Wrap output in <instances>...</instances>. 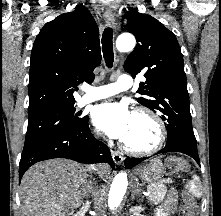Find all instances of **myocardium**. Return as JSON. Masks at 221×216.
Masks as SVG:
<instances>
[{
    "instance_id": "obj_1",
    "label": "myocardium",
    "mask_w": 221,
    "mask_h": 216,
    "mask_svg": "<svg viewBox=\"0 0 221 216\" xmlns=\"http://www.w3.org/2000/svg\"><path fill=\"white\" fill-rule=\"evenodd\" d=\"M134 115H143L151 119L157 128V139L155 143L147 148H135L129 146L126 142H121V148L132 155H148L158 151L165 143L167 138V129L162 118L151 108L139 106L134 110Z\"/></svg>"
}]
</instances>
